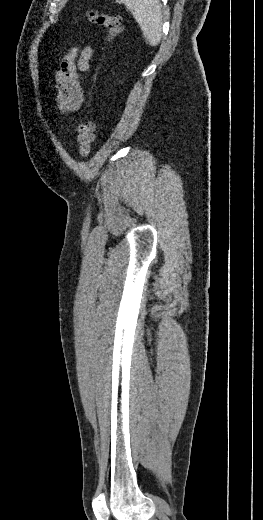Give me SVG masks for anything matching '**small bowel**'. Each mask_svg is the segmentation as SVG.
<instances>
[{
  "instance_id": "1",
  "label": "small bowel",
  "mask_w": 263,
  "mask_h": 520,
  "mask_svg": "<svg viewBox=\"0 0 263 520\" xmlns=\"http://www.w3.org/2000/svg\"><path fill=\"white\" fill-rule=\"evenodd\" d=\"M92 55L93 50L87 47L80 52L77 62L74 61L76 50L63 59L61 69L56 73L55 85L57 106L62 113L73 112L81 107L84 94L77 71L86 72L89 69Z\"/></svg>"
}]
</instances>
